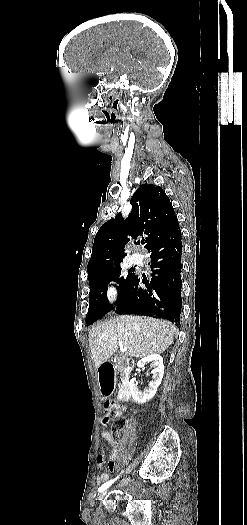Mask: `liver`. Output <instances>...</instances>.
<instances>
[{
  "label": "liver",
  "instance_id": "liver-1",
  "mask_svg": "<svg viewBox=\"0 0 247 525\" xmlns=\"http://www.w3.org/2000/svg\"><path fill=\"white\" fill-rule=\"evenodd\" d=\"M178 329L170 321L153 317L121 315L102 325H94L89 343L96 369L109 361L119 347H127L124 357L143 359L148 355H161L172 345Z\"/></svg>",
  "mask_w": 247,
  "mask_h": 525
}]
</instances>
